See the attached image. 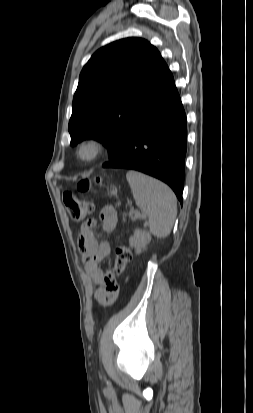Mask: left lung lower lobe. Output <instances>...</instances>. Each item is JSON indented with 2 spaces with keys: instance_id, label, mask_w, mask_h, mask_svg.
I'll list each match as a JSON object with an SVG mask.
<instances>
[{
  "instance_id": "obj_1",
  "label": "left lung lower lobe",
  "mask_w": 253,
  "mask_h": 413,
  "mask_svg": "<svg viewBox=\"0 0 253 413\" xmlns=\"http://www.w3.org/2000/svg\"><path fill=\"white\" fill-rule=\"evenodd\" d=\"M187 122L168 69L140 111L126 124L117 156L104 168L141 171L167 183L182 203Z\"/></svg>"
}]
</instances>
